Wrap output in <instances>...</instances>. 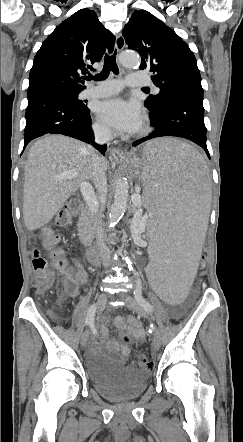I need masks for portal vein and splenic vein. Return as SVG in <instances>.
Segmentation results:
<instances>
[{"instance_id": "portal-vein-and-splenic-vein-1", "label": "portal vein and splenic vein", "mask_w": 243, "mask_h": 442, "mask_svg": "<svg viewBox=\"0 0 243 442\" xmlns=\"http://www.w3.org/2000/svg\"><path fill=\"white\" fill-rule=\"evenodd\" d=\"M77 172L74 170L71 171H67L64 172L60 175H57L55 178L56 179H74L77 176ZM80 190L82 195L84 196V199L86 201V203L89 206V209L91 211H94L96 209V203L94 202V194H93V189L92 186L88 183V182H83L80 185ZM135 198H140V196L138 194H135Z\"/></svg>"}]
</instances>
